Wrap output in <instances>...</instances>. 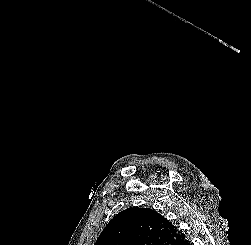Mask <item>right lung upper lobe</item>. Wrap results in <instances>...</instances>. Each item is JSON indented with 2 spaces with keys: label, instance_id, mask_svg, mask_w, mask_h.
<instances>
[{
  "label": "right lung upper lobe",
  "instance_id": "1",
  "mask_svg": "<svg viewBox=\"0 0 251 245\" xmlns=\"http://www.w3.org/2000/svg\"><path fill=\"white\" fill-rule=\"evenodd\" d=\"M183 237L161 214L131 207L107 224L94 245H175Z\"/></svg>",
  "mask_w": 251,
  "mask_h": 245
}]
</instances>
